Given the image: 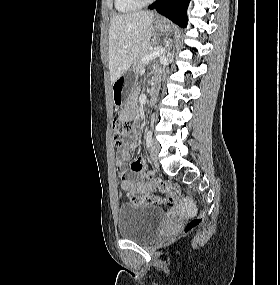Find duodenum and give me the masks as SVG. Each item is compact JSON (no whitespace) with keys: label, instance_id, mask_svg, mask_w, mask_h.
<instances>
[{"label":"duodenum","instance_id":"obj_1","mask_svg":"<svg viewBox=\"0 0 280 285\" xmlns=\"http://www.w3.org/2000/svg\"><path fill=\"white\" fill-rule=\"evenodd\" d=\"M151 93H152L153 99H156L158 96V85L155 81H153L152 83Z\"/></svg>","mask_w":280,"mask_h":285}]
</instances>
